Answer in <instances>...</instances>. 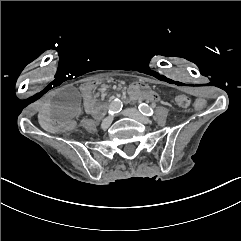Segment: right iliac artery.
Returning <instances> with one entry per match:
<instances>
[{"label": "right iliac artery", "instance_id": "82829eb1", "mask_svg": "<svg viewBox=\"0 0 241 241\" xmlns=\"http://www.w3.org/2000/svg\"><path fill=\"white\" fill-rule=\"evenodd\" d=\"M122 106H123V105H122L121 100L115 99V100L111 103V105H110V107H109L108 114H109V115H114V114L120 112V111L122 110Z\"/></svg>", "mask_w": 241, "mask_h": 241}]
</instances>
